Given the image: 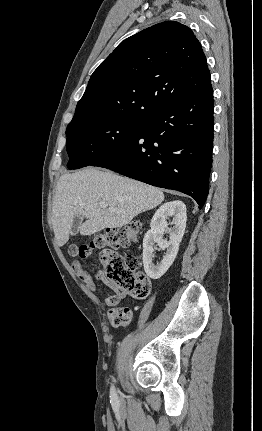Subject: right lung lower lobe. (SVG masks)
<instances>
[{"label":"right lung lower lobe","mask_w":262,"mask_h":431,"mask_svg":"<svg viewBox=\"0 0 262 431\" xmlns=\"http://www.w3.org/2000/svg\"><path fill=\"white\" fill-rule=\"evenodd\" d=\"M213 89L142 119L136 132L91 164L153 186L183 192L201 209L209 191Z\"/></svg>","instance_id":"obj_1"}]
</instances>
